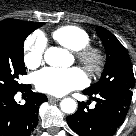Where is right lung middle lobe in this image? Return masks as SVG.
Masks as SVG:
<instances>
[{
	"label": "right lung middle lobe",
	"instance_id": "obj_1",
	"mask_svg": "<svg viewBox=\"0 0 136 136\" xmlns=\"http://www.w3.org/2000/svg\"><path fill=\"white\" fill-rule=\"evenodd\" d=\"M43 24H18L0 29V93L17 92L22 88L18 77L26 74L23 43L31 32Z\"/></svg>",
	"mask_w": 136,
	"mask_h": 136
}]
</instances>
